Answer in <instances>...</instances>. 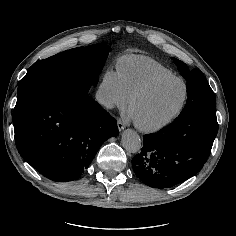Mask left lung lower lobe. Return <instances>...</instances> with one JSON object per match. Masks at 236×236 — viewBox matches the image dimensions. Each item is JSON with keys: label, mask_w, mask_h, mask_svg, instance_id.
<instances>
[{"label": "left lung lower lobe", "mask_w": 236, "mask_h": 236, "mask_svg": "<svg viewBox=\"0 0 236 236\" xmlns=\"http://www.w3.org/2000/svg\"><path fill=\"white\" fill-rule=\"evenodd\" d=\"M217 131L216 110L181 112L169 126L143 136L144 146L133 157V170L143 183L154 188L183 182L202 169Z\"/></svg>", "instance_id": "obj_1"}]
</instances>
